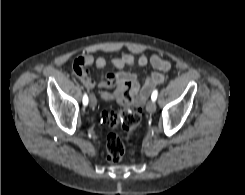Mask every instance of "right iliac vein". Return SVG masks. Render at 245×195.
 <instances>
[{
	"mask_svg": "<svg viewBox=\"0 0 245 195\" xmlns=\"http://www.w3.org/2000/svg\"><path fill=\"white\" fill-rule=\"evenodd\" d=\"M89 104L92 108H94L97 104L96 98L94 95H90V100H89Z\"/></svg>",
	"mask_w": 245,
	"mask_h": 195,
	"instance_id": "1",
	"label": "right iliac vein"
}]
</instances>
